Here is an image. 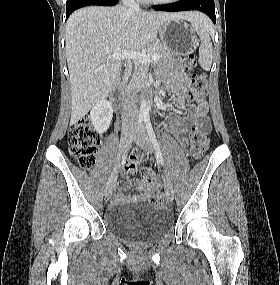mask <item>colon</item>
<instances>
[{
    "mask_svg": "<svg viewBox=\"0 0 280 285\" xmlns=\"http://www.w3.org/2000/svg\"><path fill=\"white\" fill-rule=\"evenodd\" d=\"M185 68L191 72L192 87L188 92V97L193 102H200L206 94L207 79L203 73L194 72L196 59L189 56L184 61ZM210 128L194 129L189 138V148L195 158H199L207 150L209 145L208 133ZM100 144V134L93 128L89 121H80L73 124L69 132V151L76 162L86 170L92 169L95 163V155ZM136 159V155H133ZM143 179L150 182L154 178V172L149 168L141 169ZM152 202L163 204L167 201L164 194H154Z\"/></svg>",
    "mask_w": 280,
    "mask_h": 285,
    "instance_id": "obj_1",
    "label": "colon"
}]
</instances>
